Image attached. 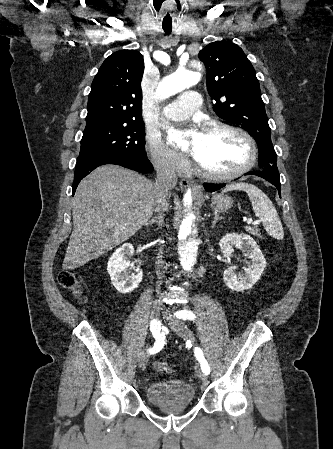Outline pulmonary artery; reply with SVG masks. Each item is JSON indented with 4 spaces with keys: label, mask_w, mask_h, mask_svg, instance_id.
Instances as JSON below:
<instances>
[{
    "label": "pulmonary artery",
    "mask_w": 333,
    "mask_h": 449,
    "mask_svg": "<svg viewBox=\"0 0 333 449\" xmlns=\"http://www.w3.org/2000/svg\"><path fill=\"white\" fill-rule=\"evenodd\" d=\"M201 96L197 91L183 92L176 100L163 108V114L170 120L180 121L187 118L193 111L199 108Z\"/></svg>",
    "instance_id": "e3ab8cb5"
}]
</instances>
